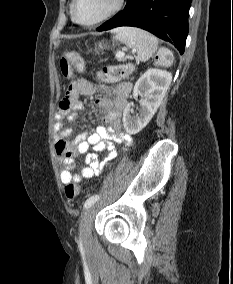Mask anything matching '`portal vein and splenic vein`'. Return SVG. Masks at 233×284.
I'll return each instance as SVG.
<instances>
[{
  "instance_id": "18ae733b",
  "label": "portal vein and splenic vein",
  "mask_w": 233,
  "mask_h": 284,
  "mask_svg": "<svg viewBox=\"0 0 233 284\" xmlns=\"http://www.w3.org/2000/svg\"><path fill=\"white\" fill-rule=\"evenodd\" d=\"M121 55H124V54H121ZM117 56H118V55H117ZM118 58H120V59H121V58H123V57H121V56L119 55V56H118Z\"/></svg>"
}]
</instances>
